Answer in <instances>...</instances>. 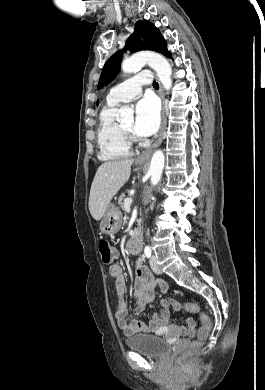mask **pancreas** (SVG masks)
I'll return each instance as SVG.
<instances>
[{
    "instance_id": "pancreas-1",
    "label": "pancreas",
    "mask_w": 265,
    "mask_h": 390,
    "mask_svg": "<svg viewBox=\"0 0 265 390\" xmlns=\"http://www.w3.org/2000/svg\"><path fill=\"white\" fill-rule=\"evenodd\" d=\"M124 201H125V194H122L120 197H119V204L120 206L123 208L124 207Z\"/></svg>"
}]
</instances>
